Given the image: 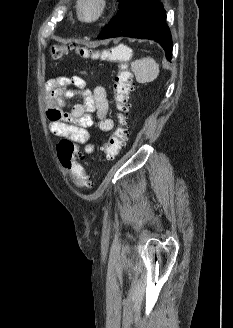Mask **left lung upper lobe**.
<instances>
[{
  "mask_svg": "<svg viewBox=\"0 0 233 328\" xmlns=\"http://www.w3.org/2000/svg\"><path fill=\"white\" fill-rule=\"evenodd\" d=\"M125 1L126 0H118V2H119V8L124 4Z\"/></svg>",
  "mask_w": 233,
  "mask_h": 328,
  "instance_id": "1",
  "label": "left lung upper lobe"
}]
</instances>
